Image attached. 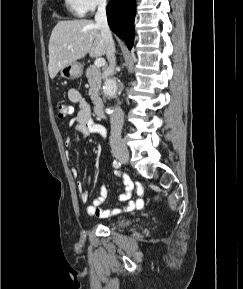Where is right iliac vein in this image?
<instances>
[{"mask_svg":"<svg viewBox=\"0 0 243 289\" xmlns=\"http://www.w3.org/2000/svg\"><path fill=\"white\" fill-rule=\"evenodd\" d=\"M116 158L123 164H127L129 161V153L127 150H121L115 153Z\"/></svg>","mask_w":243,"mask_h":289,"instance_id":"right-iliac-vein-1","label":"right iliac vein"}]
</instances>
